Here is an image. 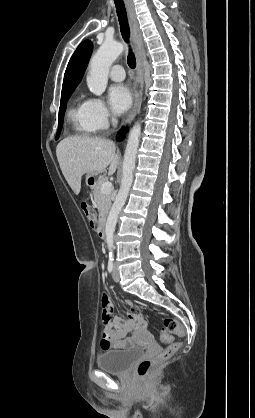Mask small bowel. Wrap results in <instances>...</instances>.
Returning <instances> with one entry per match:
<instances>
[{
	"label": "small bowel",
	"instance_id": "small-bowel-1",
	"mask_svg": "<svg viewBox=\"0 0 255 418\" xmlns=\"http://www.w3.org/2000/svg\"><path fill=\"white\" fill-rule=\"evenodd\" d=\"M126 303L131 307L128 318L115 317L113 322H109V315L113 307L106 295L102 297L104 327L100 345L103 350L123 349L133 345L135 338H146L148 336L146 322L142 314L131 302L127 301ZM129 334H133V336Z\"/></svg>",
	"mask_w": 255,
	"mask_h": 418
}]
</instances>
